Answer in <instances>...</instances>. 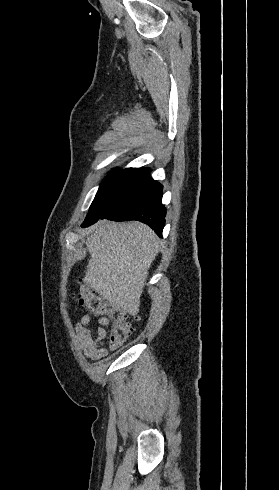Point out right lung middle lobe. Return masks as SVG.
<instances>
[{"mask_svg": "<svg viewBox=\"0 0 279 490\" xmlns=\"http://www.w3.org/2000/svg\"><path fill=\"white\" fill-rule=\"evenodd\" d=\"M150 171L149 168L112 170V174L100 185L84 223L100 217L109 199L121 190L152 180Z\"/></svg>", "mask_w": 279, "mask_h": 490, "instance_id": "dd1d6c3e", "label": "right lung middle lobe"}]
</instances>
